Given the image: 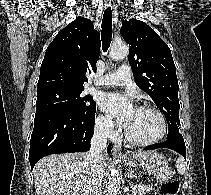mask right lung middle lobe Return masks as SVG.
<instances>
[{"label":"right lung middle lobe","mask_w":211,"mask_h":195,"mask_svg":"<svg viewBox=\"0 0 211 195\" xmlns=\"http://www.w3.org/2000/svg\"><path fill=\"white\" fill-rule=\"evenodd\" d=\"M83 89L55 88L37 93L36 113L61 111L71 114H87L96 108L90 95L83 96Z\"/></svg>","instance_id":"right-lung-middle-lobe-1"}]
</instances>
